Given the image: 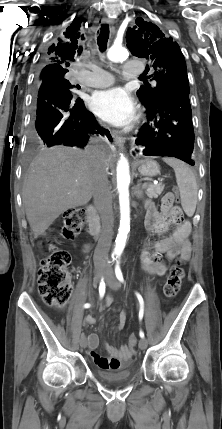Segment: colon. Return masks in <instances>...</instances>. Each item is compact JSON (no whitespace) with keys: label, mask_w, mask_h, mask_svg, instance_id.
Instances as JSON below:
<instances>
[{"label":"colon","mask_w":222,"mask_h":429,"mask_svg":"<svg viewBox=\"0 0 222 429\" xmlns=\"http://www.w3.org/2000/svg\"><path fill=\"white\" fill-rule=\"evenodd\" d=\"M178 201L176 193H167L162 200L165 206H172ZM86 211L81 208H72L63 215L62 236L67 239L74 238L81 231L86 222ZM50 254L40 264L38 275V290L44 303L48 306L62 307L67 304L72 295V286L68 273V265L71 261L70 254L59 249L55 244H49ZM185 270L183 260L174 264L167 275L163 286L165 298H174L181 287ZM137 344V336L130 334L128 345L134 347Z\"/></svg>","instance_id":"1"}]
</instances>
